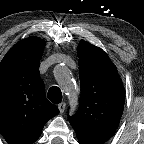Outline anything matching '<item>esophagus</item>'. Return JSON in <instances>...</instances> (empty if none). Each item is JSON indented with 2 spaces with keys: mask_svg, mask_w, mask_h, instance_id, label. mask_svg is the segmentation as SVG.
Segmentation results:
<instances>
[{
  "mask_svg": "<svg viewBox=\"0 0 144 144\" xmlns=\"http://www.w3.org/2000/svg\"><path fill=\"white\" fill-rule=\"evenodd\" d=\"M66 107V103L65 102H61L60 104H58V109L60 111V113H63Z\"/></svg>",
  "mask_w": 144,
  "mask_h": 144,
  "instance_id": "esophagus-1",
  "label": "esophagus"
}]
</instances>
